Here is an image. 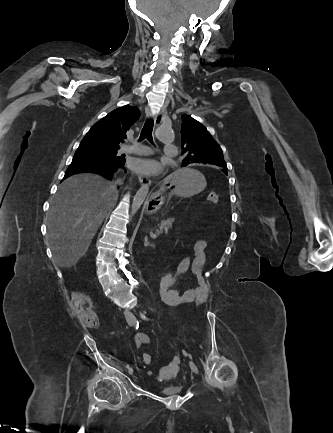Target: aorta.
<instances>
[{
    "mask_svg": "<svg viewBox=\"0 0 333 433\" xmlns=\"http://www.w3.org/2000/svg\"><path fill=\"white\" fill-rule=\"evenodd\" d=\"M155 137L160 143L168 144L173 142L174 140V134L171 129V127L168 126H160L155 131ZM149 192V186L148 184L143 185L134 196L130 215L131 217L134 216L137 211L140 209L141 205L143 204L145 198L147 197Z\"/></svg>",
    "mask_w": 333,
    "mask_h": 433,
    "instance_id": "aorta-1",
    "label": "aorta"
}]
</instances>
